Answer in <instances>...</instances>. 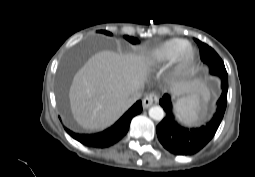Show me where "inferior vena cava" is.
<instances>
[{"label": "inferior vena cava", "instance_id": "inferior-vena-cava-1", "mask_svg": "<svg viewBox=\"0 0 255 177\" xmlns=\"http://www.w3.org/2000/svg\"><path fill=\"white\" fill-rule=\"evenodd\" d=\"M142 87V86H141ZM139 89V88H138ZM135 90L131 96L128 98V102L130 104H133L134 102H136L138 99H140L141 97V92L139 90Z\"/></svg>", "mask_w": 255, "mask_h": 177}]
</instances>
